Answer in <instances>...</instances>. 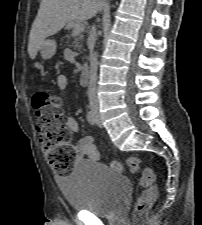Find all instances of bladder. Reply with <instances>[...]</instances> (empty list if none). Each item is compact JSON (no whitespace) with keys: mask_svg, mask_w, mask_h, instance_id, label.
<instances>
[{"mask_svg":"<svg viewBox=\"0 0 202 225\" xmlns=\"http://www.w3.org/2000/svg\"><path fill=\"white\" fill-rule=\"evenodd\" d=\"M131 189L132 184L123 173L90 159L75 162L72 172L64 177L61 185L71 210L98 217L116 214Z\"/></svg>","mask_w":202,"mask_h":225,"instance_id":"bladder-1","label":"bladder"}]
</instances>
